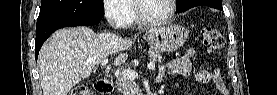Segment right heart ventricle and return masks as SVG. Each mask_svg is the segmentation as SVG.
Instances as JSON below:
<instances>
[{
	"mask_svg": "<svg viewBox=\"0 0 277 95\" xmlns=\"http://www.w3.org/2000/svg\"><path fill=\"white\" fill-rule=\"evenodd\" d=\"M127 6H128V4H127ZM135 22H136V17H135V15L130 11V15H129L128 19H127V23H128V24H133V23H135Z\"/></svg>",
	"mask_w": 277,
	"mask_h": 95,
	"instance_id": "e07e8e85",
	"label": "right heart ventricle"
}]
</instances>
